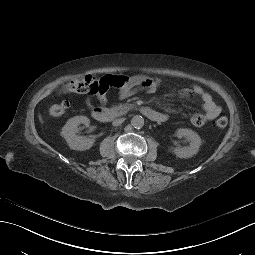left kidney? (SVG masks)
<instances>
[{
    "instance_id": "left-kidney-1",
    "label": "left kidney",
    "mask_w": 255,
    "mask_h": 255,
    "mask_svg": "<svg viewBox=\"0 0 255 255\" xmlns=\"http://www.w3.org/2000/svg\"><path fill=\"white\" fill-rule=\"evenodd\" d=\"M176 135L178 137H186L188 141H190V145L187 147H176L174 149V153L179 158H189L194 154H197L199 151V147L201 145V138L197 133L190 129L180 128L176 131Z\"/></svg>"
}]
</instances>
